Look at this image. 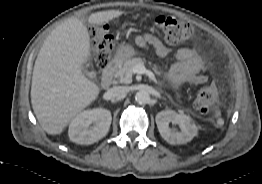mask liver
<instances>
[{"label":"liver","mask_w":262,"mask_h":184,"mask_svg":"<svg viewBox=\"0 0 262 184\" xmlns=\"http://www.w3.org/2000/svg\"><path fill=\"white\" fill-rule=\"evenodd\" d=\"M124 12L92 13L87 21L101 25ZM91 55L86 25L72 17L57 26L44 41L35 61L31 104L45 132L59 135L70 121L99 95V86L82 73Z\"/></svg>","instance_id":"liver-1"}]
</instances>
